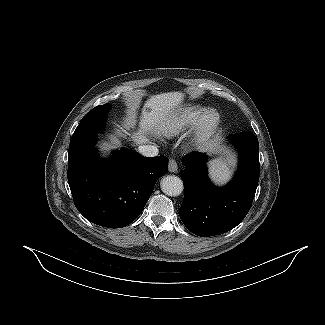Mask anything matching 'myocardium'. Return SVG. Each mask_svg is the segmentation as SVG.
<instances>
[{"instance_id": "myocardium-1", "label": "myocardium", "mask_w": 325, "mask_h": 325, "mask_svg": "<svg viewBox=\"0 0 325 325\" xmlns=\"http://www.w3.org/2000/svg\"><path fill=\"white\" fill-rule=\"evenodd\" d=\"M221 123L220 114L214 109H205L195 121L190 133L193 146H204L216 133Z\"/></svg>"}]
</instances>
